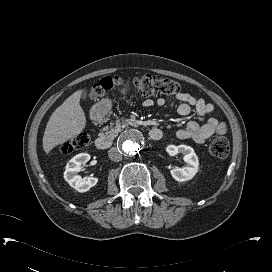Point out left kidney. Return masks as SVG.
Returning <instances> with one entry per match:
<instances>
[{
    "label": "left kidney",
    "mask_w": 272,
    "mask_h": 272,
    "mask_svg": "<svg viewBox=\"0 0 272 272\" xmlns=\"http://www.w3.org/2000/svg\"><path fill=\"white\" fill-rule=\"evenodd\" d=\"M166 151L170 155H176L181 153L184 155V161L186 166L179 168L176 167L170 171L171 176L178 182H184L192 179L198 172L199 160L194 152V149L186 145H169L166 148Z\"/></svg>",
    "instance_id": "obj_1"
}]
</instances>
